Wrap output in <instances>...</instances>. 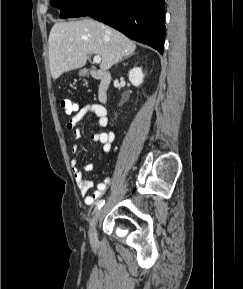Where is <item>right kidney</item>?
Wrapping results in <instances>:
<instances>
[{
    "label": "right kidney",
    "mask_w": 243,
    "mask_h": 289,
    "mask_svg": "<svg viewBox=\"0 0 243 289\" xmlns=\"http://www.w3.org/2000/svg\"><path fill=\"white\" fill-rule=\"evenodd\" d=\"M143 73L140 67H134L129 72V81L135 87L140 86L143 83Z\"/></svg>",
    "instance_id": "obj_1"
}]
</instances>
